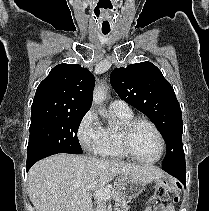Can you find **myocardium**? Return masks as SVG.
Masks as SVG:
<instances>
[{
  "label": "myocardium",
  "instance_id": "f54148a6",
  "mask_svg": "<svg viewBox=\"0 0 209 211\" xmlns=\"http://www.w3.org/2000/svg\"><path fill=\"white\" fill-rule=\"evenodd\" d=\"M140 124L149 125L154 130V132L156 133L158 137L159 144H160V151H159L158 156L154 160H150V161L142 160L132 150V147H131L132 134L135 128ZM120 144H121V148L123 152L127 155V157L143 165H154L158 163L162 159L165 152V140L160 129L153 121L147 118H143V117L132 118L131 120L125 122L121 126Z\"/></svg>",
  "mask_w": 209,
  "mask_h": 211
}]
</instances>
